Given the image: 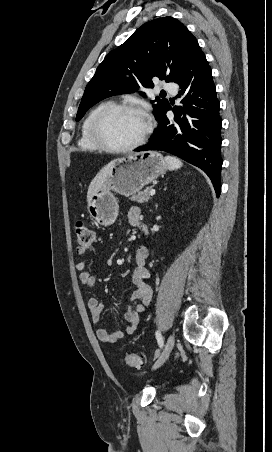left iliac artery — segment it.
<instances>
[{"instance_id":"obj_1","label":"left iliac artery","mask_w":272,"mask_h":452,"mask_svg":"<svg viewBox=\"0 0 272 452\" xmlns=\"http://www.w3.org/2000/svg\"><path fill=\"white\" fill-rule=\"evenodd\" d=\"M156 339L160 347L163 346V337L159 331H156Z\"/></svg>"}]
</instances>
